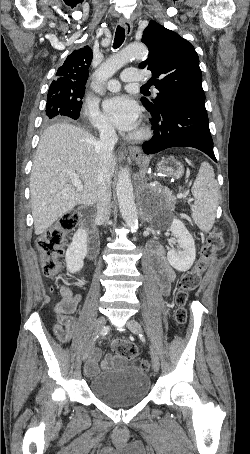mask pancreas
Instances as JSON below:
<instances>
[{
	"label": "pancreas",
	"mask_w": 250,
	"mask_h": 454,
	"mask_svg": "<svg viewBox=\"0 0 250 454\" xmlns=\"http://www.w3.org/2000/svg\"><path fill=\"white\" fill-rule=\"evenodd\" d=\"M168 206L172 209L175 207V198L173 196L169 197Z\"/></svg>",
	"instance_id": "pancreas-1"
}]
</instances>
